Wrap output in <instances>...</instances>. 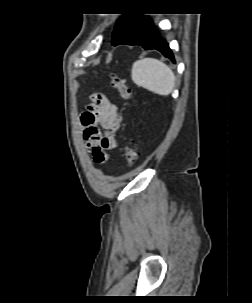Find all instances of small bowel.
Returning <instances> with one entry per match:
<instances>
[{
	"label": "small bowel",
	"mask_w": 252,
	"mask_h": 303,
	"mask_svg": "<svg viewBox=\"0 0 252 303\" xmlns=\"http://www.w3.org/2000/svg\"><path fill=\"white\" fill-rule=\"evenodd\" d=\"M89 99L82 117L83 138L94 162L104 165L109 159L107 150L116 147V133L122 123L123 113L101 93L93 92Z\"/></svg>",
	"instance_id": "c3829d8e"
}]
</instances>
